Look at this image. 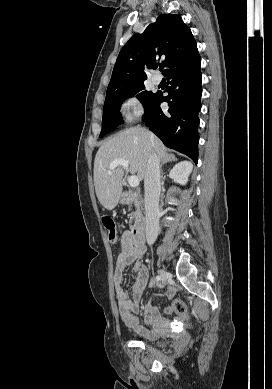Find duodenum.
I'll return each instance as SVG.
<instances>
[{"label": "duodenum", "instance_id": "duodenum-1", "mask_svg": "<svg viewBox=\"0 0 272 389\" xmlns=\"http://www.w3.org/2000/svg\"><path fill=\"white\" fill-rule=\"evenodd\" d=\"M141 193L127 191L121 196V202L123 204L131 203L133 200L139 198ZM130 239L134 244H144L145 242V220L139 221L129 232Z\"/></svg>", "mask_w": 272, "mask_h": 389}]
</instances>
